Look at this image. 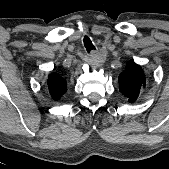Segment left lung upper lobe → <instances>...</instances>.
I'll use <instances>...</instances> for the list:
<instances>
[{"label": "left lung upper lobe", "instance_id": "left-lung-upper-lobe-1", "mask_svg": "<svg viewBox=\"0 0 169 169\" xmlns=\"http://www.w3.org/2000/svg\"><path fill=\"white\" fill-rule=\"evenodd\" d=\"M119 90L128 98L129 102H134L143 86L146 79L141 66L133 62H128L126 69L119 75Z\"/></svg>", "mask_w": 169, "mask_h": 169}]
</instances>
